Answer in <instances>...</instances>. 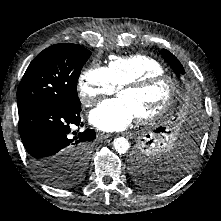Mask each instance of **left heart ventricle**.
Returning <instances> with one entry per match:
<instances>
[{
    "mask_svg": "<svg viewBox=\"0 0 221 221\" xmlns=\"http://www.w3.org/2000/svg\"><path fill=\"white\" fill-rule=\"evenodd\" d=\"M170 85L166 81H160L143 90H123L119 92V98L125 100L135 117L150 115L159 110L168 100Z\"/></svg>",
    "mask_w": 221,
    "mask_h": 221,
    "instance_id": "1",
    "label": "left heart ventricle"
}]
</instances>
